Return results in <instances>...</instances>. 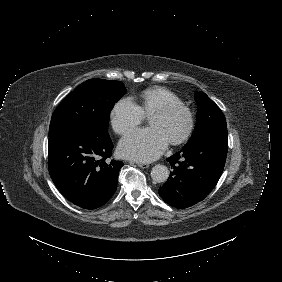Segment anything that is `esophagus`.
Wrapping results in <instances>:
<instances>
[{
	"label": "esophagus",
	"instance_id": "1",
	"mask_svg": "<svg viewBox=\"0 0 282 282\" xmlns=\"http://www.w3.org/2000/svg\"><path fill=\"white\" fill-rule=\"evenodd\" d=\"M137 165L140 167V168H148L149 167V164L147 163H137Z\"/></svg>",
	"mask_w": 282,
	"mask_h": 282
}]
</instances>
